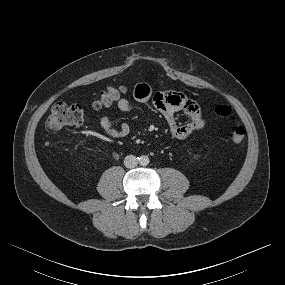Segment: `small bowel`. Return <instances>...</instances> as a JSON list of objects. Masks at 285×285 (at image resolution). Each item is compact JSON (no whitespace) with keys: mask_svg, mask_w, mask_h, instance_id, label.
I'll return each instance as SVG.
<instances>
[{"mask_svg":"<svg viewBox=\"0 0 285 285\" xmlns=\"http://www.w3.org/2000/svg\"><path fill=\"white\" fill-rule=\"evenodd\" d=\"M134 97L141 104L152 103L156 107L166 119L173 140H184L206 124L199 105L182 93L175 91L153 92L149 85L139 83L134 88ZM117 107L121 112L127 113L132 109V102L127 98H121ZM178 112H183L187 116L186 123L179 124L176 121L175 114ZM100 127L106 136L114 139L126 137L130 133L128 123L122 122L119 128H115L112 119L107 115L100 118Z\"/></svg>","mask_w":285,"mask_h":285,"instance_id":"1","label":"small bowel"}]
</instances>
